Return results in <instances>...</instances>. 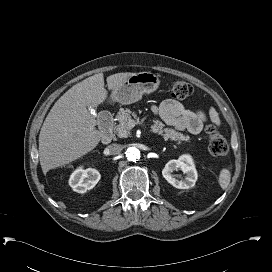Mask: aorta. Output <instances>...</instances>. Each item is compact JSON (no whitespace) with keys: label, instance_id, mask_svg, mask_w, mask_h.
Here are the masks:
<instances>
[{"label":"aorta","instance_id":"aorta-1","mask_svg":"<svg viewBox=\"0 0 272 272\" xmlns=\"http://www.w3.org/2000/svg\"><path fill=\"white\" fill-rule=\"evenodd\" d=\"M125 154L129 161L136 162L140 159V151L135 147H129Z\"/></svg>","mask_w":272,"mask_h":272}]
</instances>
